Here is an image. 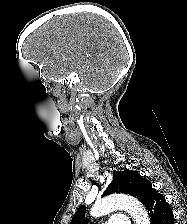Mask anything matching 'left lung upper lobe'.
<instances>
[{"label":"left lung upper lobe","mask_w":187,"mask_h":224,"mask_svg":"<svg viewBox=\"0 0 187 224\" xmlns=\"http://www.w3.org/2000/svg\"><path fill=\"white\" fill-rule=\"evenodd\" d=\"M155 192L151 183L138 172L132 170L114 171L113 181L104 191L103 196L112 193H124L136 197L144 206ZM85 206L75 212L70 224H85Z\"/></svg>","instance_id":"5c2ea615"}]
</instances>
